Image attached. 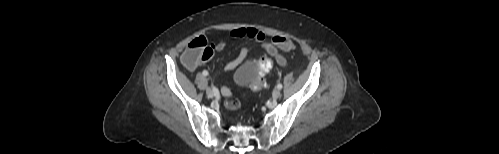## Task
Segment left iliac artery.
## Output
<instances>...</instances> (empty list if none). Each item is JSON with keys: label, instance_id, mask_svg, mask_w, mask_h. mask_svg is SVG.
I'll return each mask as SVG.
<instances>
[{"label": "left iliac artery", "instance_id": "1", "mask_svg": "<svg viewBox=\"0 0 499 154\" xmlns=\"http://www.w3.org/2000/svg\"><path fill=\"white\" fill-rule=\"evenodd\" d=\"M282 87H283V86H282V84H281V83H279V84L277 85V88H278V89H282Z\"/></svg>", "mask_w": 499, "mask_h": 154}]
</instances>
